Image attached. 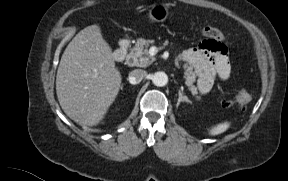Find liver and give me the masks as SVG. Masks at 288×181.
Wrapping results in <instances>:
<instances>
[{
	"label": "liver",
	"mask_w": 288,
	"mask_h": 181,
	"mask_svg": "<svg viewBox=\"0 0 288 181\" xmlns=\"http://www.w3.org/2000/svg\"><path fill=\"white\" fill-rule=\"evenodd\" d=\"M98 70L100 76L92 82L90 76L97 75ZM57 80V94L65 113L80 125L97 124L121 83L111 49L97 26L88 27L69 44Z\"/></svg>",
	"instance_id": "6515ba94"
}]
</instances>
